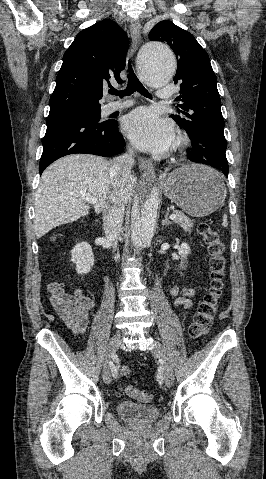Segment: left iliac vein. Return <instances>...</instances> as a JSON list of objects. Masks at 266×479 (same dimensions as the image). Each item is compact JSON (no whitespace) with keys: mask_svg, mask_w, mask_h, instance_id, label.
<instances>
[{"mask_svg":"<svg viewBox=\"0 0 266 479\" xmlns=\"http://www.w3.org/2000/svg\"><path fill=\"white\" fill-rule=\"evenodd\" d=\"M151 353L163 360L164 368V382L167 387H171L174 382V373L170 363L168 362L167 356L163 346L159 342H155L151 347Z\"/></svg>","mask_w":266,"mask_h":479,"instance_id":"1","label":"left iliac vein"}]
</instances>
